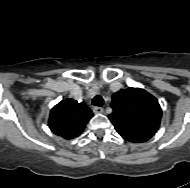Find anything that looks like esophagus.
Segmentation results:
<instances>
[{"mask_svg":"<svg viewBox=\"0 0 190 188\" xmlns=\"http://www.w3.org/2000/svg\"><path fill=\"white\" fill-rule=\"evenodd\" d=\"M93 112L96 113V114H101V113L104 112V109L102 107L96 106V107L93 108Z\"/></svg>","mask_w":190,"mask_h":188,"instance_id":"obj_1","label":"esophagus"}]
</instances>
